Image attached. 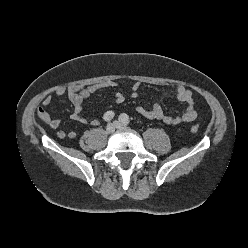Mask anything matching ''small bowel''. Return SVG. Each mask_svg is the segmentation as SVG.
Here are the masks:
<instances>
[{
	"instance_id": "1",
	"label": "small bowel",
	"mask_w": 248,
	"mask_h": 248,
	"mask_svg": "<svg viewBox=\"0 0 248 248\" xmlns=\"http://www.w3.org/2000/svg\"><path fill=\"white\" fill-rule=\"evenodd\" d=\"M114 86H116V82L112 80L92 85H72L68 87H59L55 91L54 95L58 98L67 96V98L73 105V112L70 115V118L78 123L86 124L87 119L82 115L84 100L89 98L95 91L100 88ZM140 87V82H135L130 89L129 96L131 98L138 97ZM171 89L175 93L177 99L180 102L186 104V109L182 114L175 116L166 115L158 102H155L150 109L138 106L136 107V112L147 119L159 120L166 124L174 126L194 121L198 115V112L196 109V103L192 91L182 85H173L171 86ZM52 99L53 97L51 95L46 96L43 99L42 105L37 108V116L45 125L55 130L59 128L61 121L58 118H54L47 110V107L51 104ZM114 99L116 103L120 104L124 102L125 97L121 92H116L114 95ZM90 124L92 126H97L99 124V121L97 119H92L90 120ZM57 136L60 139H64L66 137L74 139L76 138L77 133L75 131L65 132L63 130H59L57 132Z\"/></svg>"
}]
</instances>
